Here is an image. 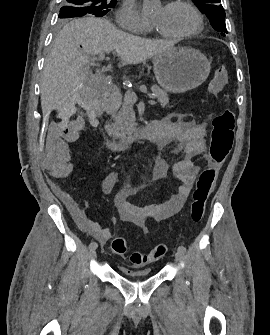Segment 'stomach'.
Segmentation results:
<instances>
[{
    "label": "stomach",
    "instance_id": "1",
    "mask_svg": "<svg viewBox=\"0 0 270 335\" xmlns=\"http://www.w3.org/2000/svg\"><path fill=\"white\" fill-rule=\"evenodd\" d=\"M153 66L155 78L165 92L183 94L207 80L211 62L195 48H171L156 54Z\"/></svg>",
    "mask_w": 270,
    "mask_h": 335
}]
</instances>
